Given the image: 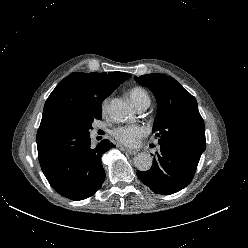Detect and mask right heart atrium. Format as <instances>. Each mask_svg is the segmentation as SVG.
I'll list each match as a JSON object with an SVG mask.
<instances>
[{"label":"right heart atrium","instance_id":"d8ad5b80","mask_svg":"<svg viewBox=\"0 0 248 248\" xmlns=\"http://www.w3.org/2000/svg\"><path fill=\"white\" fill-rule=\"evenodd\" d=\"M108 105H109V99L106 98L105 100H103L101 108L103 112H106L108 110Z\"/></svg>","mask_w":248,"mask_h":248}]
</instances>
